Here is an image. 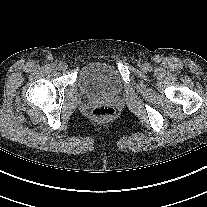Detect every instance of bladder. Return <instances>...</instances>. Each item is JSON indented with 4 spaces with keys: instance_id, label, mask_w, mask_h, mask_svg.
<instances>
[{
    "instance_id": "bladder-1",
    "label": "bladder",
    "mask_w": 207,
    "mask_h": 207,
    "mask_svg": "<svg viewBox=\"0 0 207 207\" xmlns=\"http://www.w3.org/2000/svg\"><path fill=\"white\" fill-rule=\"evenodd\" d=\"M79 87L83 94L90 97L116 95L121 91L122 83L112 64L95 61L87 64L80 72Z\"/></svg>"
}]
</instances>
